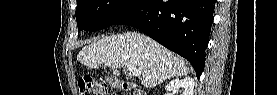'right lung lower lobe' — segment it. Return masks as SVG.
Here are the masks:
<instances>
[{"instance_id": "1", "label": "right lung lower lobe", "mask_w": 277, "mask_h": 95, "mask_svg": "<svg viewBox=\"0 0 277 95\" xmlns=\"http://www.w3.org/2000/svg\"><path fill=\"white\" fill-rule=\"evenodd\" d=\"M216 0H141L116 24L139 28L186 58L197 78L205 66Z\"/></svg>"}]
</instances>
